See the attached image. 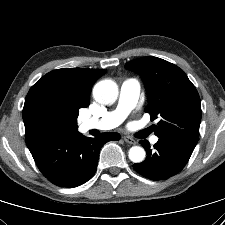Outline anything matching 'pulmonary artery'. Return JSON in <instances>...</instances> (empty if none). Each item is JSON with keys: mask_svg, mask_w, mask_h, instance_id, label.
Returning a JSON list of instances; mask_svg holds the SVG:
<instances>
[{"mask_svg": "<svg viewBox=\"0 0 225 225\" xmlns=\"http://www.w3.org/2000/svg\"><path fill=\"white\" fill-rule=\"evenodd\" d=\"M140 95V84L134 79L125 80L120 88L117 106L99 118H87L82 126L85 130L99 129L109 130L119 126L127 117L129 112L136 106ZM158 137L152 138V143H157Z\"/></svg>", "mask_w": 225, "mask_h": 225, "instance_id": "e3ab8cb5", "label": "pulmonary artery"}]
</instances>
